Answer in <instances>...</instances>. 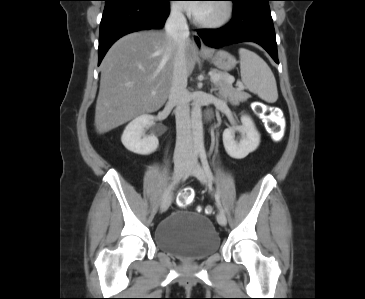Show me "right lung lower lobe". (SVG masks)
<instances>
[{
	"label": "right lung lower lobe",
	"instance_id": "obj_1",
	"mask_svg": "<svg viewBox=\"0 0 365 299\" xmlns=\"http://www.w3.org/2000/svg\"><path fill=\"white\" fill-rule=\"evenodd\" d=\"M169 0H116L105 4L100 23L98 65L122 36L162 28L169 16Z\"/></svg>",
	"mask_w": 365,
	"mask_h": 299
}]
</instances>
